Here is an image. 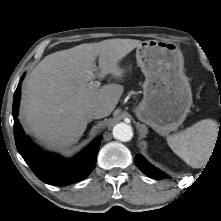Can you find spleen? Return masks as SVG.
I'll use <instances>...</instances> for the list:
<instances>
[{
	"label": "spleen",
	"mask_w": 221,
	"mask_h": 221,
	"mask_svg": "<svg viewBox=\"0 0 221 221\" xmlns=\"http://www.w3.org/2000/svg\"><path fill=\"white\" fill-rule=\"evenodd\" d=\"M218 134V123L201 120L191 127L167 137L172 151L193 168H201L209 160Z\"/></svg>",
	"instance_id": "obj_1"
}]
</instances>
